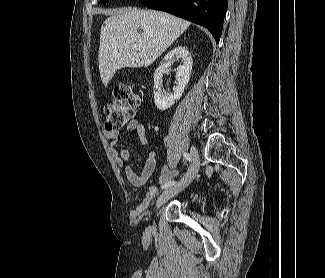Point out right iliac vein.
Here are the masks:
<instances>
[{
	"mask_svg": "<svg viewBox=\"0 0 325 278\" xmlns=\"http://www.w3.org/2000/svg\"><path fill=\"white\" fill-rule=\"evenodd\" d=\"M190 152H191V156H192V163L190 165L189 170L187 171V173L184 175V177L178 183L171 185L170 187H168L161 193V195L159 196V198L157 199V202H156L157 208L161 207L170 198H172L173 196H175L176 194L181 192L184 188H186L191 183V181L194 179L196 174L198 173L199 153L194 146L191 147ZM151 228L153 229L154 226H152Z\"/></svg>",
	"mask_w": 325,
	"mask_h": 278,
	"instance_id": "right-iliac-vein-1",
	"label": "right iliac vein"
}]
</instances>
